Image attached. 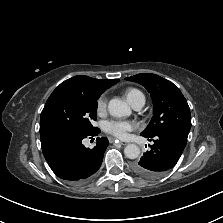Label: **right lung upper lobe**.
<instances>
[{"instance_id":"cb5924a9","label":"right lung upper lobe","mask_w":223,"mask_h":223,"mask_svg":"<svg viewBox=\"0 0 223 223\" xmlns=\"http://www.w3.org/2000/svg\"><path fill=\"white\" fill-rule=\"evenodd\" d=\"M118 79H95L85 75H78L62 82L58 89H79L102 94L106 89L116 84Z\"/></svg>"}]
</instances>
